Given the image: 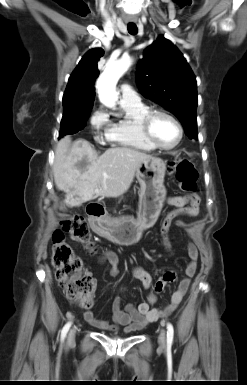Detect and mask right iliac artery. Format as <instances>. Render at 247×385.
<instances>
[{"label":"right iliac artery","instance_id":"82829eb1","mask_svg":"<svg viewBox=\"0 0 247 385\" xmlns=\"http://www.w3.org/2000/svg\"><path fill=\"white\" fill-rule=\"evenodd\" d=\"M71 326V322H68L65 324V326L63 327L62 331H61V341H64L66 335H67V332L69 330Z\"/></svg>","mask_w":247,"mask_h":385}]
</instances>
